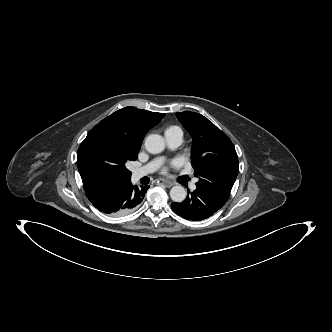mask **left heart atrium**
Instances as JSON below:
<instances>
[{"label": "left heart atrium", "mask_w": 332, "mask_h": 332, "mask_svg": "<svg viewBox=\"0 0 332 332\" xmlns=\"http://www.w3.org/2000/svg\"><path fill=\"white\" fill-rule=\"evenodd\" d=\"M170 165L171 166H178L179 165V161L178 160H172L170 162ZM168 171V166H165L163 169H162V173H166Z\"/></svg>", "instance_id": "1"}]
</instances>
